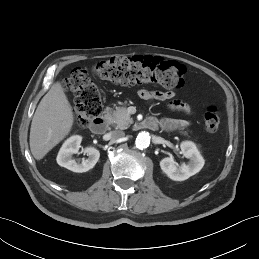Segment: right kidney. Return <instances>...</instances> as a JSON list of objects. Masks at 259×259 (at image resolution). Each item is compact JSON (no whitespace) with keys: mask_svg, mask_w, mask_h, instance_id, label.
Returning <instances> with one entry per match:
<instances>
[{"mask_svg":"<svg viewBox=\"0 0 259 259\" xmlns=\"http://www.w3.org/2000/svg\"><path fill=\"white\" fill-rule=\"evenodd\" d=\"M81 141L82 137L75 135L64 142L56 159L60 166L78 173L86 172L95 166L99 160L100 153L94 147H86L84 149V153L87 154L88 158L83 159L81 163L72 158L73 154L78 153Z\"/></svg>","mask_w":259,"mask_h":259,"instance_id":"ca27d5eb","label":"right kidney"}]
</instances>
